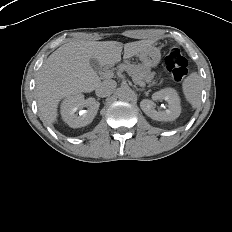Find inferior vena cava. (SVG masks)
Listing matches in <instances>:
<instances>
[{
    "mask_svg": "<svg viewBox=\"0 0 232 232\" xmlns=\"http://www.w3.org/2000/svg\"><path fill=\"white\" fill-rule=\"evenodd\" d=\"M116 85L114 80H104L97 86L95 90L96 95L98 97L110 96L114 92Z\"/></svg>",
    "mask_w": 232,
    "mask_h": 232,
    "instance_id": "602c4592",
    "label": "inferior vena cava"
}]
</instances>
